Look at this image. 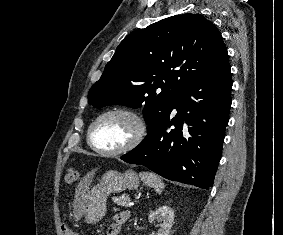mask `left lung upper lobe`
Segmentation results:
<instances>
[{"mask_svg": "<svg viewBox=\"0 0 283 235\" xmlns=\"http://www.w3.org/2000/svg\"><path fill=\"white\" fill-rule=\"evenodd\" d=\"M228 61L215 25L199 14L168 17L130 33L117 47L88 103L143 106L151 131L170 112L184 86Z\"/></svg>", "mask_w": 283, "mask_h": 235, "instance_id": "1", "label": "left lung upper lobe"}]
</instances>
